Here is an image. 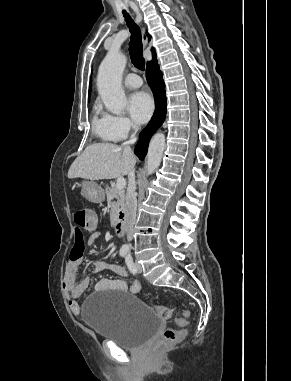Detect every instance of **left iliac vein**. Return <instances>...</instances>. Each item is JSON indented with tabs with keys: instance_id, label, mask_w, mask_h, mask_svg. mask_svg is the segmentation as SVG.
<instances>
[{
	"instance_id": "4c4485c4",
	"label": "left iliac vein",
	"mask_w": 291,
	"mask_h": 381,
	"mask_svg": "<svg viewBox=\"0 0 291 381\" xmlns=\"http://www.w3.org/2000/svg\"><path fill=\"white\" fill-rule=\"evenodd\" d=\"M135 269H136V273L142 272V267L138 262H135Z\"/></svg>"
}]
</instances>
